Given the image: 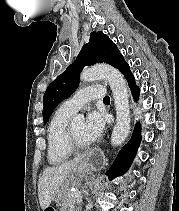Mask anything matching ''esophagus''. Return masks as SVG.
Listing matches in <instances>:
<instances>
[{"label":"esophagus","mask_w":179,"mask_h":211,"mask_svg":"<svg viewBox=\"0 0 179 211\" xmlns=\"http://www.w3.org/2000/svg\"><path fill=\"white\" fill-rule=\"evenodd\" d=\"M87 159H90L93 171H100V167L105 164V154H100V151H90V154H87Z\"/></svg>","instance_id":"obj_1"}]
</instances>
